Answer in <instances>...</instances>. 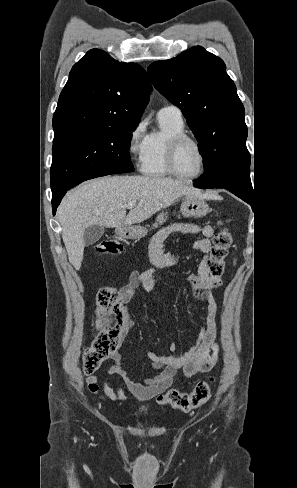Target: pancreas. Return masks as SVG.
<instances>
[{"label": "pancreas", "instance_id": "obj_1", "mask_svg": "<svg viewBox=\"0 0 297 488\" xmlns=\"http://www.w3.org/2000/svg\"><path fill=\"white\" fill-rule=\"evenodd\" d=\"M167 212H162L157 216L156 222L153 224V228H157L159 225L163 224L167 220Z\"/></svg>", "mask_w": 297, "mask_h": 488}]
</instances>
